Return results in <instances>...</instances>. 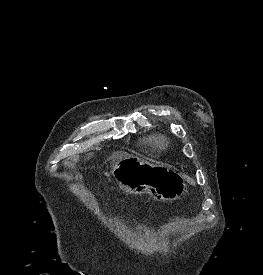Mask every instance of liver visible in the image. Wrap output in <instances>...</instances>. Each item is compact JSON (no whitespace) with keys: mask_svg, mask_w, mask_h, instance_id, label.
<instances>
[{"mask_svg":"<svg viewBox=\"0 0 263 275\" xmlns=\"http://www.w3.org/2000/svg\"><path fill=\"white\" fill-rule=\"evenodd\" d=\"M129 156V154L124 153V152H115L112 154V159H114L116 162L120 161L121 159Z\"/></svg>","mask_w":263,"mask_h":275,"instance_id":"1","label":"liver"}]
</instances>
